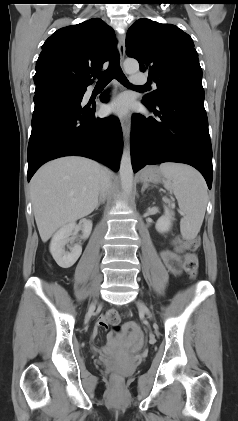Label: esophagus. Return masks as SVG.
<instances>
[{"label": "esophagus", "mask_w": 238, "mask_h": 421, "mask_svg": "<svg viewBox=\"0 0 238 421\" xmlns=\"http://www.w3.org/2000/svg\"><path fill=\"white\" fill-rule=\"evenodd\" d=\"M117 39H118V52L120 55V59L123 60L124 56H125V34L123 33H119L117 35ZM121 126H122V131H123V136H124V140L125 143H128L129 140V136H130V124L127 120H122L121 121Z\"/></svg>", "instance_id": "obj_1"}]
</instances>
